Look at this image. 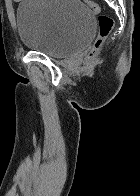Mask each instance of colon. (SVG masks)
I'll return each instance as SVG.
<instances>
[{"mask_svg": "<svg viewBox=\"0 0 140 196\" xmlns=\"http://www.w3.org/2000/svg\"><path fill=\"white\" fill-rule=\"evenodd\" d=\"M86 4L95 14H97L98 34L93 43V46L86 56L85 63H92L100 52L106 38L113 29L114 21L109 14L101 12V7L98 3L90 0H81Z\"/></svg>", "mask_w": 140, "mask_h": 196, "instance_id": "colon-1", "label": "colon"}]
</instances>
